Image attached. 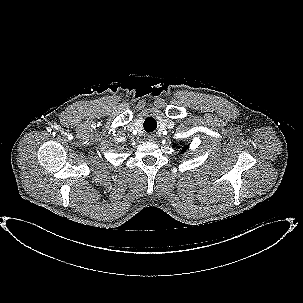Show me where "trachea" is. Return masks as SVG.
Here are the masks:
<instances>
[{
    "instance_id": "1",
    "label": "trachea",
    "mask_w": 303,
    "mask_h": 303,
    "mask_svg": "<svg viewBox=\"0 0 303 303\" xmlns=\"http://www.w3.org/2000/svg\"><path fill=\"white\" fill-rule=\"evenodd\" d=\"M143 125H144V129L146 130V132H152L156 129L157 122L154 118L148 117L145 119Z\"/></svg>"
}]
</instances>
